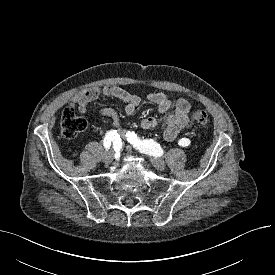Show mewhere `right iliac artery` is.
Instances as JSON below:
<instances>
[{"mask_svg":"<svg viewBox=\"0 0 275 275\" xmlns=\"http://www.w3.org/2000/svg\"><path fill=\"white\" fill-rule=\"evenodd\" d=\"M121 141L120 135L115 130L109 131L104 137V147L108 150L111 146V143L118 144Z\"/></svg>","mask_w":275,"mask_h":275,"instance_id":"82829eb1","label":"right iliac artery"}]
</instances>
